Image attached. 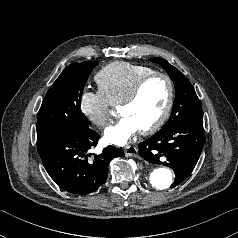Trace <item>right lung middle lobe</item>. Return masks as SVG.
Wrapping results in <instances>:
<instances>
[{
	"label": "right lung middle lobe",
	"instance_id": "1",
	"mask_svg": "<svg viewBox=\"0 0 238 238\" xmlns=\"http://www.w3.org/2000/svg\"><path fill=\"white\" fill-rule=\"evenodd\" d=\"M97 61L74 63L52 84L43 99L37 118V142L53 134L89 128L80 109L84 85Z\"/></svg>",
	"mask_w": 238,
	"mask_h": 238
}]
</instances>
